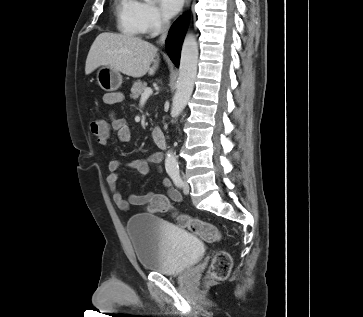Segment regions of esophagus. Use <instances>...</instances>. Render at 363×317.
Masks as SVG:
<instances>
[{"mask_svg":"<svg viewBox=\"0 0 363 317\" xmlns=\"http://www.w3.org/2000/svg\"><path fill=\"white\" fill-rule=\"evenodd\" d=\"M190 1H191V0H187V1H186V10L189 8Z\"/></svg>","mask_w":363,"mask_h":317,"instance_id":"34e87169","label":"esophagus"}]
</instances>
